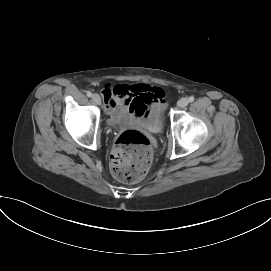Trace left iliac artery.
<instances>
[{"label": "left iliac artery", "mask_w": 271, "mask_h": 271, "mask_svg": "<svg viewBox=\"0 0 271 271\" xmlns=\"http://www.w3.org/2000/svg\"><path fill=\"white\" fill-rule=\"evenodd\" d=\"M188 100H189V102H193L194 101V97L190 96Z\"/></svg>", "instance_id": "obj_1"}]
</instances>
